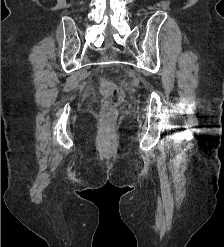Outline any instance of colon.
I'll list each match as a JSON object with an SVG mask.
<instances>
[{
	"label": "colon",
	"mask_w": 224,
	"mask_h": 247,
	"mask_svg": "<svg viewBox=\"0 0 224 247\" xmlns=\"http://www.w3.org/2000/svg\"><path fill=\"white\" fill-rule=\"evenodd\" d=\"M103 96L102 114L106 120H113L117 115V107L124 98L123 90L110 80H102L100 86Z\"/></svg>",
	"instance_id": "obj_1"
}]
</instances>
